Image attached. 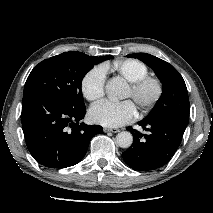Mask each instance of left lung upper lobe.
<instances>
[{"mask_svg": "<svg viewBox=\"0 0 213 213\" xmlns=\"http://www.w3.org/2000/svg\"><path fill=\"white\" fill-rule=\"evenodd\" d=\"M152 68L163 85V93L149 115L143 120L175 117L189 122V98L180 73L168 62L147 53L129 54Z\"/></svg>", "mask_w": 213, "mask_h": 213, "instance_id": "1", "label": "left lung upper lobe"}]
</instances>
